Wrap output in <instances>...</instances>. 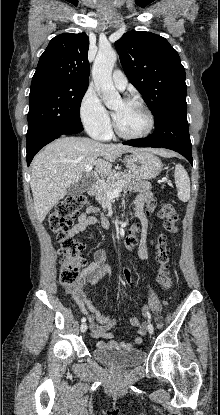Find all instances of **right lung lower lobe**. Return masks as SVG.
Segmentation results:
<instances>
[{
	"label": "right lung lower lobe",
	"mask_w": 220,
	"mask_h": 415,
	"mask_svg": "<svg viewBox=\"0 0 220 415\" xmlns=\"http://www.w3.org/2000/svg\"><path fill=\"white\" fill-rule=\"evenodd\" d=\"M82 131V130H81ZM81 131H77L74 133H68V134H50V135H46L42 138H40L32 147L27 149V164L28 166L30 165L33 157L35 156V154L45 145H47L48 143H50L51 141H53L56 138H59L61 135H75V134H79L81 133Z\"/></svg>",
	"instance_id": "98d812e1"
}]
</instances>
